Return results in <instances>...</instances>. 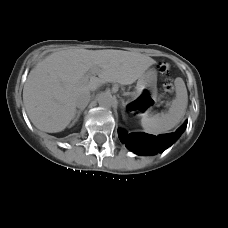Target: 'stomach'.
<instances>
[{
  "mask_svg": "<svg viewBox=\"0 0 228 228\" xmlns=\"http://www.w3.org/2000/svg\"><path fill=\"white\" fill-rule=\"evenodd\" d=\"M135 96L145 108L150 107L157 100V72L149 69L137 81Z\"/></svg>",
  "mask_w": 228,
  "mask_h": 228,
  "instance_id": "0dacf381",
  "label": "stomach"
}]
</instances>
